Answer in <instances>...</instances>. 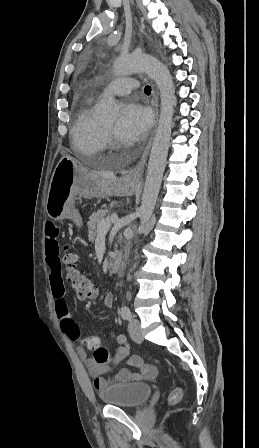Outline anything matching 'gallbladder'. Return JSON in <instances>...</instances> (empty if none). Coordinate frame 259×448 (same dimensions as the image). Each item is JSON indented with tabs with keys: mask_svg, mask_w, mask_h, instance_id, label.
Here are the masks:
<instances>
[{
	"mask_svg": "<svg viewBox=\"0 0 259 448\" xmlns=\"http://www.w3.org/2000/svg\"><path fill=\"white\" fill-rule=\"evenodd\" d=\"M101 168H105L104 164H101Z\"/></svg>",
	"mask_w": 259,
	"mask_h": 448,
	"instance_id": "1",
	"label": "gallbladder"
}]
</instances>
